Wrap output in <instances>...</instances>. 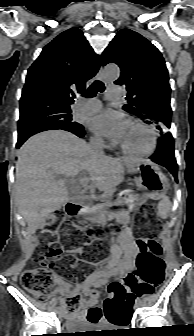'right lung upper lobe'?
<instances>
[{"mask_svg":"<svg viewBox=\"0 0 194 336\" xmlns=\"http://www.w3.org/2000/svg\"><path fill=\"white\" fill-rule=\"evenodd\" d=\"M100 64L81 30L62 32L43 48L28 70L19 120L44 110H70L74 90L84 91Z\"/></svg>","mask_w":194,"mask_h":336,"instance_id":"obj_1","label":"right lung upper lobe"}]
</instances>
